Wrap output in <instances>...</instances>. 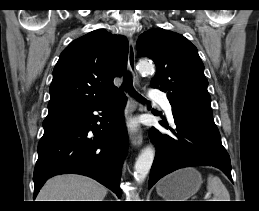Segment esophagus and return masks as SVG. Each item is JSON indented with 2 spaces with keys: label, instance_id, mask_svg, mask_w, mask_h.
I'll return each instance as SVG.
<instances>
[{
  "label": "esophagus",
  "instance_id": "esophagus-1",
  "mask_svg": "<svg viewBox=\"0 0 259 211\" xmlns=\"http://www.w3.org/2000/svg\"><path fill=\"white\" fill-rule=\"evenodd\" d=\"M136 62H135V45L132 38H129V49H128V69L134 77V81L138 83V77L136 72ZM132 101L133 109L137 108V103ZM131 144L135 147H140L143 142V136L141 130L132 132L130 134Z\"/></svg>",
  "mask_w": 259,
  "mask_h": 211
}]
</instances>
